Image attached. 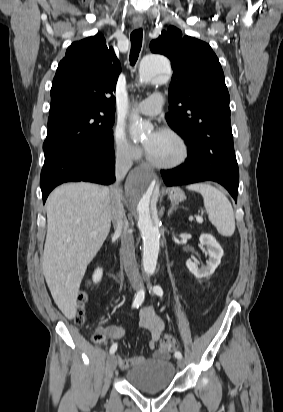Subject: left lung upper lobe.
<instances>
[{
  "instance_id": "5c2ea615",
  "label": "left lung upper lobe",
  "mask_w": 283,
  "mask_h": 412,
  "mask_svg": "<svg viewBox=\"0 0 283 412\" xmlns=\"http://www.w3.org/2000/svg\"><path fill=\"white\" fill-rule=\"evenodd\" d=\"M153 53L167 56L174 70L169 87V126L184 140L202 144L207 154L225 160V173L239 179L230 124L229 93L219 60L209 44L182 37L175 27L151 41Z\"/></svg>"
}]
</instances>
